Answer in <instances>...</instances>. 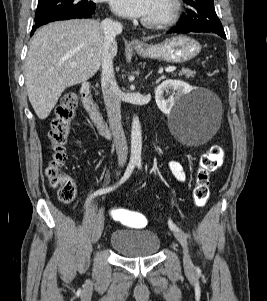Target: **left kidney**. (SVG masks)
Masks as SVG:
<instances>
[{"mask_svg":"<svg viewBox=\"0 0 267 301\" xmlns=\"http://www.w3.org/2000/svg\"><path fill=\"white\" fill-rule=\"evenodd\" d=\"M192 87L179 80H166L162 82L155 90V100L158 108L164 112L169 113L173 106L175 105L176 99L189 94L192 91ZM166 90L176 91L175 97L171 96L168 99H165L163 94Z\"/></svg>","mask_w":267,"mask_h":301,"instance_id":"1","label":"left kidney"}]
</instances>
